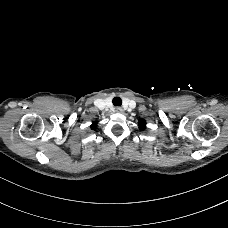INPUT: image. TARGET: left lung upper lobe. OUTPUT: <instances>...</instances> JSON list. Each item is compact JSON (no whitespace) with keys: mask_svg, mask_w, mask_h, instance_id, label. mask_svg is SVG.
Masks as SVG:
<instances>
[{"mask_svg":"<svg viewBox=\"0 0 228 228\" xmlns=\"http://www.w3.org/2000/svg\"><path fill=\"white\" fill-rule=\"evenodd\" d=\"M145 120H140L139 121V128L141 129V130H144L145 128H146V126H145Z\"/></svg>","mask_w":228,"mask_h":228,"instance_id":"left-lung-upper-lobe-1","label":"left lung upper lobe"}]
</instances>
